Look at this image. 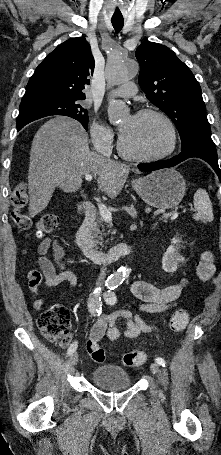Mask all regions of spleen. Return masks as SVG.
I'll return each mask as SVG.
<instances>
[{
  "mask_svg": "<svg viewBox=\"0 0 221 455\" xmlns=\"http://www.w3.org/2000/svg\"><path fill=\"white\" fill-rule=\"evenodd\" d=\"M193 203L196 209V213L193 214L195 220L213 221V207L205 189H197L193 197Z\"/></svg>",
  "mask_w": 221,
  "mask_h": 455,
  "instance_id": "3e777b00",
  "label": "spleen"
}]
</instances>
